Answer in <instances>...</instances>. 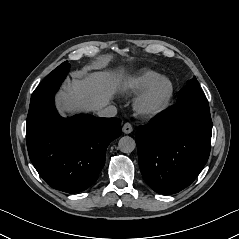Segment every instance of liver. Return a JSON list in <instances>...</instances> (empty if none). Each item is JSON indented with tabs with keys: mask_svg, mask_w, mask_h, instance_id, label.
<instances>
[{
	"mask_svg": "<svg viewBox=\"0 0 239 239\" xmlns=\"http://www.w3.org/2000/svg\"><path fill=\"white\" fill-rule=\"evenodd\" d=\"M121 79L108 72L80 73L58 94V106L64 112L100 110L120 89Z\"/></svg>",
	"mask_w": 239,
	"mask_h": 239,
	"instance_id": "obj_1",
	"label": "liver"
}]
</instances>
